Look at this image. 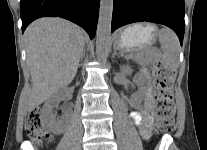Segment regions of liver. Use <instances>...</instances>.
Returning <instances> with one entry per match:
<instances>
[{"mask_svg":"<svg viewBox=\"0 0 207 150\" xmlns=\"http://www.w3.org/2000/svg\"><path fill=\"white\" fill-rule=\"evenodd\" d=\"M32 78L31 111L74 79L84 46L83 31L61 18H40L24 33Z\"/></svg>","mask_w":207,"mask_h":150,"instance_id":"1","label":"liver"}]
</instances>
